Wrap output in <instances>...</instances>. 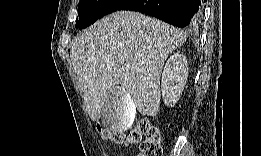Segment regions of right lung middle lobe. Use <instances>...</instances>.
I'll return each mask as SVG.
<instances>
[{
  "label": "right lung middle lobe",
  "mask_w": 261,
  "mask_h": 156,
  "mask_svg": "<svg viewBox=\"0 0 261 156\" xmlns=\"http://www.w3.org/2000/svg\"><path fill=\"white\" fill-rule=\"evenodd\" d=\"M125 0H80L76 28L84 29L102 16L117 10Z\"/></svg>",
  "instance_id": "obj_1"
}]
</instances>
